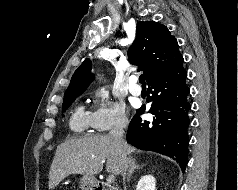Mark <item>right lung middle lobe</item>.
Masks as SVG:
<instances>
[{"label": "right lung middle lobe", "instance_id": "obj_1", "mask_svg": "<svg viewBox=\"0 0 238 190\" xmlns=\"http://www.w3.org/2000/svg\"><path fill=\"white\" fill-rule=\"evenodd\" d=\"M79 95H80V93L79 94H71V95L65 96L64 97V101H63V106H62L63 111H66V109L73 103V101Z\"/></svg>", "mask_w": 238, "mask_h": 190}]
</instances>
